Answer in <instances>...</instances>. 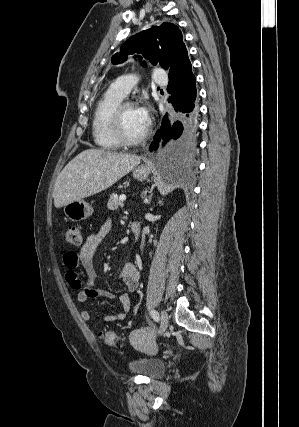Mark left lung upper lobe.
I'll return each mask as SVG.
<instances>
[{
  "label": "left lung upper lobe",
  "mask_w": 299,
  "mask_h": 427,
  "mask_svg": "<svg viewBox=\"0 0 299 427\" xmlns=\"http://www.w3.org/2000/svg\"><path fill=\"white\" fill-rule=\"evenodd\" d=\"M182 40L181 30L173 23L164 22L130 37L111 61L113 64H119L124 62L129 54L141 53L153 64L159 61L164 69H168L183 43ZM142 64L145 65V62Z\"/></svg>",
  "instance_id": "obj_1"
}]
</instances>
